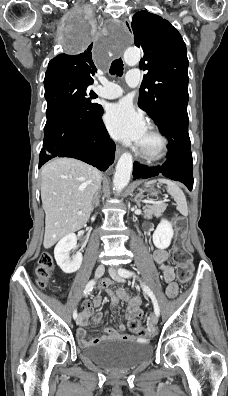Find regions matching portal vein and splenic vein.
Returning <instances> with one entry per match:
<instances>
[{"mask_svg":"<svg viewBox=\"0 0 228 396\" xmlns=\"http://www.w3.org/2000/svg\"><path fill=\"white\" fill-rule=\"evenodd\" d=\"M144 203H153V204H159V203H162V202L144 201ZM77 214H78V215H82V212H81V211H79Z\"/></svg>","mask_w":228,"mask_h":396,"instance_id":"18ae733b","label":"portal vein and splenic vein"}]
</instances>
